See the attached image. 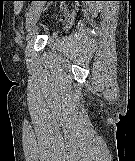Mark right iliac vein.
I'll return each instance as SVG.
<instances>
[{"instance_id": "right-iliac-vein-1", "label": "right iliac vein", "mask_w": 135, "mask_h": 161, "mask_svg": "<svg viewBox=\"0 0 135 161\" xmlns=\"http://www.w3.org/2000/svg\"><path fill=\"white\" fill-rule=\"evenodd\" d=\"M43 6L44 5L42 3H35L32 6V8L28 14V17L26 19V25H25L26 32H30L35 27L37 21L39 20L41 13H42Z\"/></svg>"}]
</instances>
